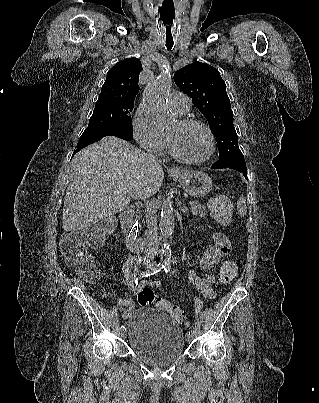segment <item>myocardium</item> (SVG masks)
Instances as JSON below:
<instances>
[{
    "label": "myocardium",
    "mask_w": 319,
    "mask_h": 403,
    "mask_svg": "<svg viewBox=\"0 0 319 403\" xmlns=\"http://www.w3.org/2000/svg\"><path fill=\"white\" fill-rule=\"evenodd\" d=\"M179 124L181 126H192V125H197L200 126L205 130V132L208 135L209 138V150L207 154L200 159H189L184 156H182L176 149L174 143L172 140L167 136V141L170 149V153L174 159H176L179 162L185 163V164H190V165H199L207 162L214 154L215 152V137L214 134L211 130V128L203 121L195 119V118H180L178 120Z\"/></svg>",
    "instance_id": "myocardium-1"
}]
</instances>
